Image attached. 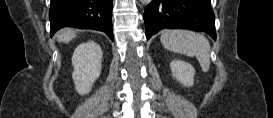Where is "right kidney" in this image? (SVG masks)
Wrapping results in <instances>:
<instances>
[{"label":"right kidney","mask_w":273,"mask_h":118,"mask_svg":"<svg viewBox=\"0 0 273 118\" xmlns=\"http://www.w3.org/2000/svg\"><path fill=\"white\" fill-rule=\"evenodd\" d=\"M103 53L99 45L93 41L82 43L74 51L72 78L75 89L80 95L91 91L93 83L99 77L102 68Z\"/></svg>","instance_id":"obj_1"}]
</instances>
